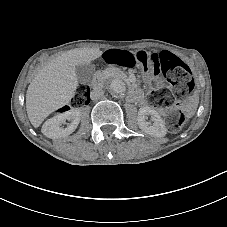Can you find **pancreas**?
<instances>
[{"label": "pancreas", "mask_w": 227, "mask_h": 227, "mask_svg": "<svg viewBox=\"0 0 227 227\" xmlns=\"http://www.w3.org/2000/svg\"><path fill=\"white\" fill-rule=\"evenodd\" d=\"M101 73H102V74H108L107 71H102ZM115 76L121 77V73H115Z\"/></svg>", "instance_id": "cf45deb5"}]
</instances>
